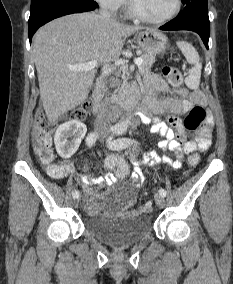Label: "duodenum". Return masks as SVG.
<instances>
[{
    "label": "duodenum",
    "instance_id": "1",
    "mask_svg": "<svg viewBox=\"0 0 233 284\" xmlns=\"http://www.w3.org/2000/svg\"><path fill=\"white\" fill-rule=\"evenodd\" d=\"M105 87H106V79L101 76L97 79L96 88L93 93L94 99V110L96 114H100L104 108V98H105ZM137 103V95L131 94L123 104V108L127 111H130L135 108Z\"/></svg>",
    "mask_w": 233,
    "mask_h": 284
}]
</instances>
